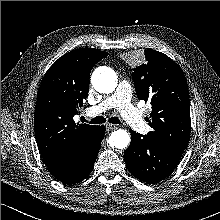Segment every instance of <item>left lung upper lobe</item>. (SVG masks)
Wrapping results in <instances>:
<instances>
[{
  "instance_id": "1",
  "label": "left lung upper lobe",
  "mask_w": 220,
  "mask_h": 220,
  "mask_svg": "<svg viewBox=\"0 0 220 220\" xmlns=\"http://www.w3.org/2000/svg\"><path fill=\"white\" fill-rule=\"evenodd\" d=\"M146 63L132 73L139 99L151 101L152 112L146 118L148 133L180 150H185L191 132L190 101L187 82L181 68L167 55L145 50Z\"/></svg>"
}]
</instances>
